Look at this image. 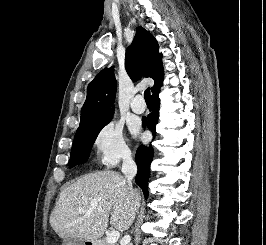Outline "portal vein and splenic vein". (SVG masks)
<instances>
[{"label":"portal vein and splenic vein","instance_id":"1","mask_svg":"<svg viewBox=\"0 0 266 245\" xmlns=\"http://www.w3.org/2000/svg\"><path fill=\"white\" fill-rule=\"evenodd\" d=\"M97 211H102V209H97ZM82 213H84V211H82ZM119 237V231H111V233H109V235H107L106 237V243H109V245H113V243H117Z\"/></svg>","mask_w":266,"mask_h":245}]
</instances>
